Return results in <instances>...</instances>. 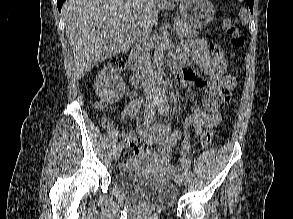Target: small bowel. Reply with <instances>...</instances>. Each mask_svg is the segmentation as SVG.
I'll use <instances>...</instances> for the list:
<instances>
[{
	"label": "small bowel",
	"instance_id": "small-bowel-1",
	"mask_svg": "<svg viewBox=\"0 0 293 219\" xmlns=\"http://www.w3.org/2000/svg\"><path fill=\"white\" fill-rule=\"evenodd\" d=\"M184 50L209 77L208 80L201 79L188 69L180 71L178 76V83L181 86H196L205 93L201 105L194 107L184 122V128H194L197 133H201L203 127L212 129L219 124V110L229 102L230 91L236 87L237 82L232 75L221 70L212 60L204 41H187L184 44ZM141 104L140 98L133 99L125 109L124 117L132 120ZM124 137L125 145L134 154L145 155L150 145L162 144L169 139L177 143L181 137V131H171L165 125H152L137 135H124ZM140 142L143 146H138Z\"/></svg>",
	"mask_w": 293,
	"mask_h": 219
}]
</instances>
